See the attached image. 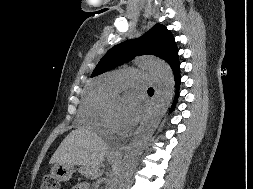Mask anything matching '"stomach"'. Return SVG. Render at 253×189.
Here are the masks:
<instances>
[{
    "mask_svg": "<svg viewBox=\"0 0 253 189\" xmlns=\"http://www.w3.org/2000/svg\"><path fill=\"white\" fill-rule=\"evenodd\" d=\"M51 172L56 180L66 182L72 177L74 165L55 164L52 167Z\"/></svg>",
    "mask_w": 253,
    "mask_h": 189,
    "instance_id": "stomach-1",
    "label": "stomach"
}]
</instances>
